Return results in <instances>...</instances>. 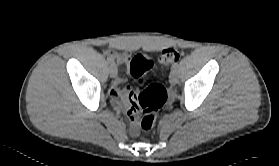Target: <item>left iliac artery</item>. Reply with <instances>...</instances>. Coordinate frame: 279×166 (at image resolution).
I'll list each match as a JSON object with an SVG mask.
<instances>
[{
	"label": "left iliac artery",
	"mask_w": 279,
	"mask_h": 166,
	"mask_svg": "<svg viewBox=\"0 0 279 166\" xmlns=\"http://www.w3.org/2000/svg\"><path fill=\"white\" fill-rule=\"evenodd\" d=\"M177 67H178V63H175V64L172 66V70L177 69Z\"/></svg>",
	"instance_id": "obj_1"
}]
</instances>
